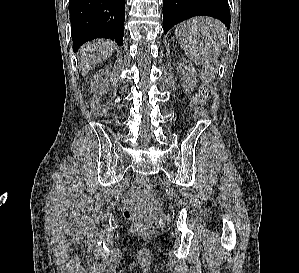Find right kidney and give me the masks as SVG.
Returning <instances> with one entry per match:
<instances>
[{"label":"right kidney","instance_id":"right-kidney-1","mask_svg":"<svg viewBox=\"0 0 299 273\" xmlns=\"http://www.w3.org/2000/svg\"><path fill=\"white\" fill-rule=\"evenodd\" d=\"M109 75V69H101L91 79V90L97 92L102 87V82Z\"/></svg>","mask_w":299,"mask_h":273}]
</instances>
